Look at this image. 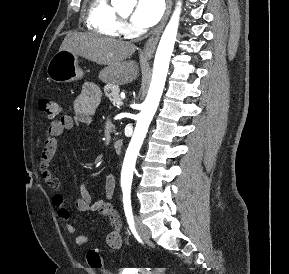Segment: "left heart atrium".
<instances>
[{"label": "left heart atrium", "mask_w": 289, "mask_h": 274, "mask_svg": "<svg viewBox=\"0 0 289 274\" xmlns=\"http://www.w3.org/2000/svg\"><path fill=\"white\" fill-rule=\"evenodd\" d=\"M164 0H138L132 14V21L139 27H151L161 18Z\"/></svg>", "instance_id": "1"}]
</instances>
